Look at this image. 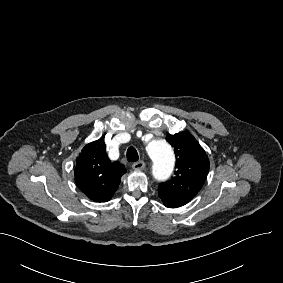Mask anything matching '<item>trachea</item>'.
Instances as JSON below:
<instances>
[{
	"mask_svg": "<svg viewBox=\"0 0 283 283\" xmlns=\"http://www.w3.org/2000/svg\"><path fill=\"white\" fill-rule=\"evenodd\" d=\"M126 156H127V160L131 163L139 160L138 152L133 146L127 149Z\"/></svg>",
	"mask_w": 283,
	"mask_h": 283,
	"instance_id": "3493384b",
	"label": "trachea"
}]
</instances>
